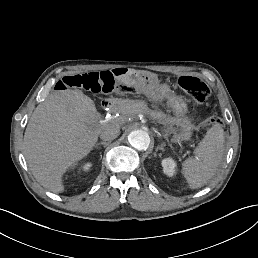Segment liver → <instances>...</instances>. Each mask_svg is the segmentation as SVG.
<instances>
[{"label": "liver", "mask_w": 258, "mask_h": 258, "mask_svg": "<svg viewBox=\"0 0 258 258\" xmlns=\"http://www.w3.org/2000/svg\"><path fill=\"white\" fill-rule=\"evenodd\" d=\"M98 117L94 103L80 90L51 94L36 107L23 151L33 176L47 190L61 191V174L91 150L99 132L89 124Z\"/></svg>", "instance_id": "liver-1"}]
</instances>
